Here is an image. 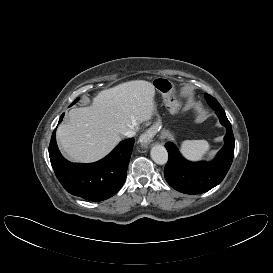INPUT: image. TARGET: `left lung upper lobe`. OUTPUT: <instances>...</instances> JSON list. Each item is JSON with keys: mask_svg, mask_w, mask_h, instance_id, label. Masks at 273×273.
<instances>
[{"mask_svg": "<svg viewBox=\"0 0 273 273\" xmlns=\"http://www.w3.org/2000/svg\"><path fill=\"white\" fill-rule=\"evenodd\" d=\"M205 98L208 102V104L215 110V111H219V110H223V108L221 107V105L218 103V101L213 98L212 96H210L209 94H205Z\"/></svg>", "mask_w": 273, "mask_h": 273, "instance_id": "5c2ea615", "label": "left lung upper lobe"}]
</instances>
